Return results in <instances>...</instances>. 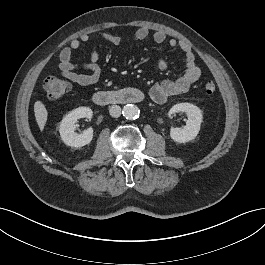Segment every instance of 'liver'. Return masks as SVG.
I'll return each mask as SVG.
<instances>
[{"instance_id":"1","label":"liver","mask_w":265,"mask_h":265,"mask_svg":"<svg viewBox=\"0 0 265 265\" xmlns=\"http://www.w3.org/2000/svg\"><path fill=\"white\" fill-rule=\"evenodd\" d=\"M34 113L39 129L43 131L45 124L47 122L48 112L45 105L41 101L35 102Z\"/></svg>"}]
</instances>
